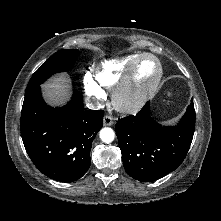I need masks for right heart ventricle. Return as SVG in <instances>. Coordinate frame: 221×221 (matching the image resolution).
<instances>
[{
  "label": "right heart ventricle",
  "mask_w": 221,
  "mask_h": 221,
  "mask_svg": "<svg viewBox=\"0 0 221 221\" xmlns=\"http://www.w3.org/2000/svg\"><path fill=\"white\" fill-rule=\"evenodd\" d=\"M141 55L134 53L103 61L95 71L96 82L104 88H114L125 75L130 65Z\"/></svg>",
  "instance_id": "1"
}]
</instances>
